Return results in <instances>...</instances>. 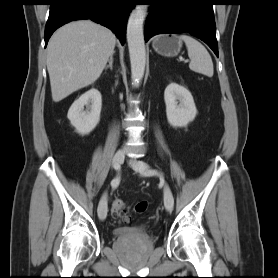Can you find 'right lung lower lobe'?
Instances as JSON below:
<instances>
[{"mask_svg": "<svg viewBox=\"0 0 278 278\" xmlns=\"http://www.w3.org/2000/svg\"><path fill=\"white\" fill-rule=\"evenodd\" d=\"M134 6V0H52L45 27V47L57 28L81 19L108 27L124 44L127 18Z\"/></svg>", "mask_w": 278, "mask_h": 278, "instance_id": "98d812e1", "label": "right lung lower lobe"}]
</instances>
